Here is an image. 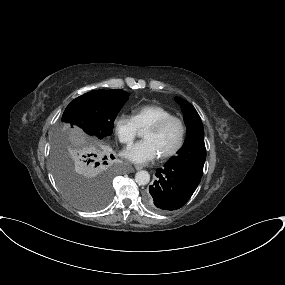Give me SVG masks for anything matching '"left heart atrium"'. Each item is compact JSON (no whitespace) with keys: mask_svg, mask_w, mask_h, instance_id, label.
<instances>
[{"mask_svg":"<svg viewBox=\"0 0 285 285\" xmlns=\"http://www.w3.org/2000/svg\"><path fill=\"white\" fill-rule=\"evenodd\" d=\"M123 156L137 165H145L155 160L159 154L151 141L142 140L123 151Z\"/></svg>","mask_w":285,"mask_h":285,"instance_id":"1","label":"left heart atrium"}]
</instances>
